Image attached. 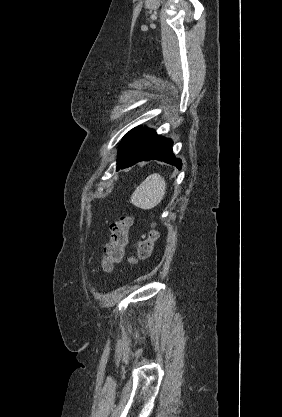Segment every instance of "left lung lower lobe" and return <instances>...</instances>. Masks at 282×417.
Returning a JSON list of instances; mask_svg holds the SVG:
<instances>
[{
  "label": "left lung lower lobe",
  "mask_w": 282,
  "mask_h": 417,
  "mask_svg": "<svg viewBox=\"0 0 282 417\" xmlns=\"http://www.w3.org/2000/svg\"><path fill=\"white\" fill-rule=\"evenodd\" d=\"M172 144L171 139L158 136L152 129L135 128L124 136L119 145L117 170L151 159L164 161L181 169V160L175 158Z\"/></svg>",
  "instance_id": "1"
}]
</instances>
